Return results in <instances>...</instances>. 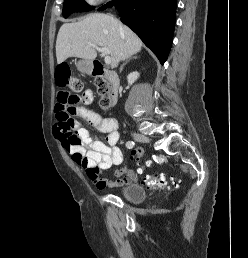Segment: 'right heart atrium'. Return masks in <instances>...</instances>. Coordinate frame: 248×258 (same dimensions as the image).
<instances>
[{"label": "right heart atrium", "mask_w": 248, "mask_h": 258, "mask_svg": "<svg viewBox=\"0 0 248 258\" xmlns=\"http://www.w3.org/2000/svg\"><path fill=\"white\" fill-rule=\"evenodd\" d=\"M86 3L90 4V5H96L104 0H85Z\"/></svg>", "instance_id": "1"}]
</instances>
